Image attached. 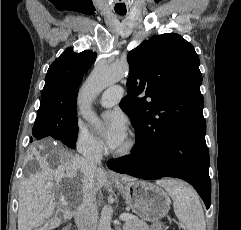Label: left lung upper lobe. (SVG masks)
I'll use <instances>...</instances> for the list:
<instances>
[{"label": "left lung upper lobe", "mask_w": 241, "mask_h": 230, "mask_svg": "<svg viewBox=\"0 0 241 230\" xmlns=\"http://www.w3.org/2000/svg\"><path fill=\"white\" fill-rule=\"evenodd\" d=\"M127 60L128 94L120 107L136 136L156 142L173 132L206 133L202 74L192 44L178 34H162L129 52Z\"/></svg>", "instance_id": "obj_1"}]
</instances>
